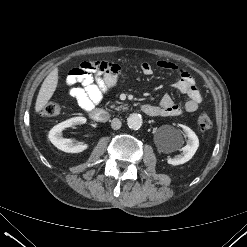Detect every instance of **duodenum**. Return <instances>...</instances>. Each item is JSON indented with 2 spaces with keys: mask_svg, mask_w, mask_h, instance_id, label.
I'll list each match as a JSON object with an SVG mask.
<instances>
[{
  "mask_svg": "<svg viewBox=\"0 0 247 247\" xmlns=\"http://www.w3.org/2000/svg\"><path fill=\"white\" fill-rule=\"evenodd\" d=\"M142 112H144L148 116H154L156 114V109L154 106L149 104H144L141 106ZM92 120L98 123H105L108 121L110 115L109 113L101 108H96L90 111L89 113Z\"/></svg>",
  "mask_w": 247,
  "mask_h": 247,
  "instance_id": "duodenum-1",
  "label": "duodenum"
}]
</instances>
